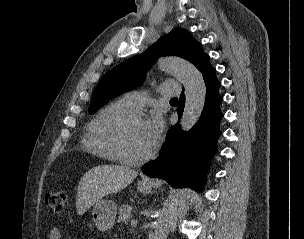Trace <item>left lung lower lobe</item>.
<instances>
[{
  "instance_id": "obj_1",
  "label": "left lung lower lobe",
  "mask_w": 304,
  "mask_h": 239,
  "mask_svg": "<svg viewBox=\"0 0 304 239\" xmlns=\"http://www.w3.org/2000/svg\"><path fill=\"white\" fill-rule=\"evenodd\" d=\"M206 84V101L199 122L193 129L183 133L178 125L173 126L157 159L144 165L143 173L150 177L165 179L172 187H192L201 192L206 181L209 163L217 153V140L221 135L219 124L222 97L218 93L220 82L215 68L205 58L198 69ZM185 104L182 92L177 113L181 116Z\"/></svg>"
}]
</instances>
